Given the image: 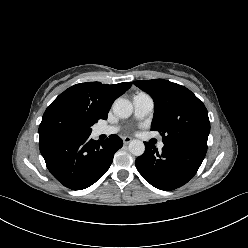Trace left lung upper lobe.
<instances>
[{"mask_svg": "<svg viewBox=\"0 0 248 248\" xmlns=\"http://www.w3.org/2000/svg\"><path fill=\"white\" fill-rule=\"evenodd\" d=\"M134 84L154 100L151 130L161 133L163 143L207 146L210 132L208 112L194 93L163 79L139 80Z\"/></svg>", "mask_w": 248, "mask_h": 248, "instance_id": "obj_1", "label": "left lung upper lobe"}]
</instances>
